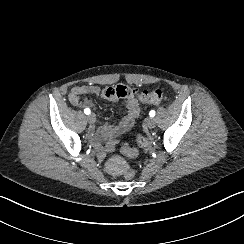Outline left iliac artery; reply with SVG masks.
I'll use <instances>...</instances> for the list:
<instances>
[{
    "mask_svg": "<svg viewBox=\"0 0 244 244\" xmlns=\"http://www.w3.org/2000/svg\"><path fill=\"white\" fill-rule=\"evenodd\" d=\"M150 117H154L155 116V111L154 110H151L150 113H149Z\"/></svg>",
    "mask_w": 244,
    "mask_h": 244,
    "instance_id": "obj_1",
    "label": "left iliac artery"
}]
</instances>
